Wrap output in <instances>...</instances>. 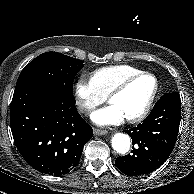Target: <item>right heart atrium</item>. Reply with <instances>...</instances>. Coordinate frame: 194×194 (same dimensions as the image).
I'll use <instances>...</instances> for the list:
<instances>
[{
	"mask_svg": "<svg viewBox=\"0 0 194 194\" xmlns=\"http://www.w3.org/2000/svg\"><path fill=\"white\" fill-rule=\"evenodd\" d=\"M74 96L78 109L85 115L104 102V97L96 91L91 80L83 76L74 84Z\"/></svg>",
	"mask_w": 194,
	"mask_h": 194,
	"instance_id": "right-heart-atrium-1",
	"label": "right heart atrium"
}]
</instances>
